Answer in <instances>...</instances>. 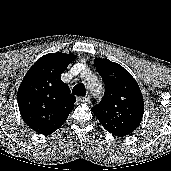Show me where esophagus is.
<instances>
[{
    "instance_id": "1",
    "label": "esophagus",
    "mask_w": 171,
    "mask_h": 171,
    "mask_svg": "<svg viewBox=\"0 0 171 171\" xmlns=\"http://www.w3.org/2000/svg\"><path fill=\"white\" fill-rule=\"evenodd\" d=\"M80 102H89L90 101V96H84L79 98Z\"/></svg>"
}]
</instances>
